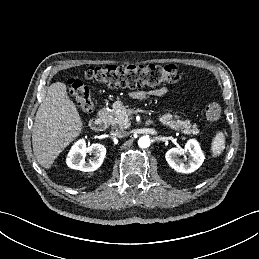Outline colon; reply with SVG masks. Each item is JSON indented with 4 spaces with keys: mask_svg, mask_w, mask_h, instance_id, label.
Wrapping results in <instances>:
<instances>
[{
    "mask_svg": "<svg viewBox=\"0 0 259 259\" xmlns=\"http://www.w3.org/2000/svg\"><path fill=\"white\" fill-rule=\"evenodd\" d=\"M85 77L89 81L110 87L141 88L176 83L179 80V73L174 65H109L89 67ZM68 91L77 100L83 114L93 111L94 102L90 88L86 84L79 79H70ZM205 114L209 122L218 121L221 116V105L218 102H211L207 105Z\"/></svg>",
    "mask_w": 259,
    "mask_h": 259,
    "instance_id": "1",
    "label": "colon"
}]
</instances>
